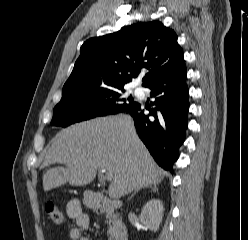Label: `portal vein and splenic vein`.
Returning <instances> with one entry per match:
<instances>
[{"label":"portal vein and splenic vein","instance_id":"obj_1","mask_svg":"<svg viewBox=\"0 0 248 240\" xmlns=\"http://www.w3.org/2000/svg\"><path fill=\"white\" fill-rule=\"evenodd\" d=\"M101 173L103 174V177L107 180H111L113 177V174L105 169L101 170Z\"/></svg>","mask_w":248,"mask_h":240}]
</instances>
